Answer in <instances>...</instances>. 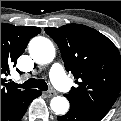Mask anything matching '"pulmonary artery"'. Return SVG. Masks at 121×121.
Instances as JSON below:
<instances>
[{"instance_id":"e3ab8cb5","label":"pulmonary artery","mask_w":121,"mask_h":121,"mask_svg":"<svg viewBox=\"0 0 121 121\" xmlns=\"http://www.w3.org/2000/svg\"><path fill=\"white\" fill-rule=\"evenodd\" d=\"M50 77L53 84L56 85L60 90L64 92H68L70 90V85L62 65L58 63L54 64L50 70Z\"/></svg>"}]
</instances>
